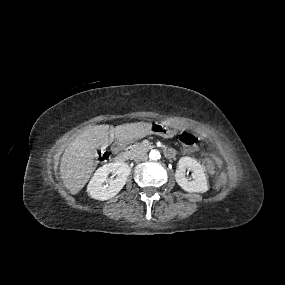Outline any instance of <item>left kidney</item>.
<instances>
[{
    "label": "left kidney",
    "mask_w": 285,
    "mask_h": 285,
    "mask_svg": "<svg viewBox=\"0 0 285 285\" xmlns=\"http://www.w3.org/2000/svg\"><path fill=\"white\" fill-rule=\"evenodd\" d=\"M186 169L192 171L191 181L185 176ZM175 179L178 185L187 192L204 193L208 190L204 167L194 158L182 157L179 159Z\"/></svg>",
    "instance_id": "left-kidney-1"
}]
</instances>
